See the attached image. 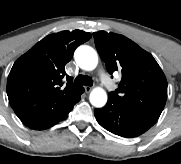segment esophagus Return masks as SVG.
<instances>
[{"instance_id":"obj_1","label":"esophagus","mask_w":181,"mask_h":164,"mask_svg":"<svg viewBox=\"0 0 181 164\" xmlns=\"http://www.w3.org/2000/svg\"><path fill=\"white\" fill-rule=\"evenodd\" d=\"M84 89H85V92H86V93H89V92L92 90V87H90V86H85Z\"/></svg>"}]
</instances>
